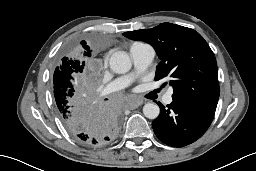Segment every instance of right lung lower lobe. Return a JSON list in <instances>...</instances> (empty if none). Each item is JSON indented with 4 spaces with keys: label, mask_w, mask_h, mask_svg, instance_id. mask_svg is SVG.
Returning a JSON list of instances; mask_svg holds the SVG:
<instances>
[{
    "label": "right lung lower lobe",
    "mask_w": 256,
    "mask_h": 171,
    "mask_svg": "<svg viewBox=\"0 0 256 171\" xmlns=\"http://www.w3.org/2000/svg\"><path fill=\"white\" fill-rule=\"evenodd\" d=\"M68 108L59 115L68 131L86 146L107 145L120 130L121 116L114 102L96 100L89 93Z\"/></svg>",
    "instance_id": "98d812e1"
}]
</instances>
